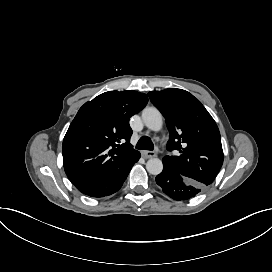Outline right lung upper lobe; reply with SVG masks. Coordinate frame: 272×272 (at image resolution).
<instances>
[{"label": "right lung upper lobe", "instance_id": "1", "mask_svg": "<svg viewBox=\"0 0 272 272\" xmlns=\"http://www.w3.org/2000/svg\"><path fill=\"white\" fill-rule=\"evenodd\" d=\"M148 102L136 91H109L85 103L64 137V170L74 185L101 177L139 154L129 119Z\"/></svg>", "mask_w": 272, "mask_h": 272}]
</instances>
